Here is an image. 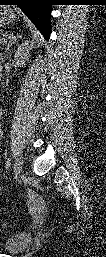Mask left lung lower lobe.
I'll list each match as a JSON object with an SVG mask.
<instances>
[{"instance_id": "1", "label": "left lung lower lobe", "mask_w": 106, "mask_h": 257, "mask_svg": "<svg viewBox=\"0 0 106 257\" xmlns=\"http://www.w3.org/2000/svg\"><path fill=\"white\" fill-rule=\"evenodd\" d=\"M3 5H17L36 25L46 39L50 35L49 0H0Z\"/></svg>"}]
</instances>
